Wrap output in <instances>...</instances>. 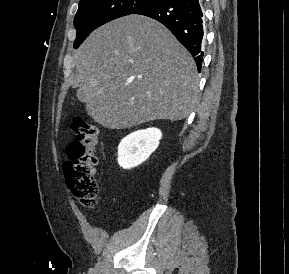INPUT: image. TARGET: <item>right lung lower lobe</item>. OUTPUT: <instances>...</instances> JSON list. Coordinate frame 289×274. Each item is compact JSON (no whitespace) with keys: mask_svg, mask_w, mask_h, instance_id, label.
Returning <instances> with one entry per match:
<instances>
[{"mask_svg":"<svg viewBox=\"0 0 289 274\" xmlns=\"http://www.w3.org/2000/svg\"><path fill=\"white\" fill-rule=\"evenodd\" d=\"M134 14L165 25L194 57L198 71L203 61V13L200 0H157Z\"/></svg>","mask_w":289,"mask_h":274,"instance_id":"98d812e1","label":"right lung lower lobe"}]
</instances>
